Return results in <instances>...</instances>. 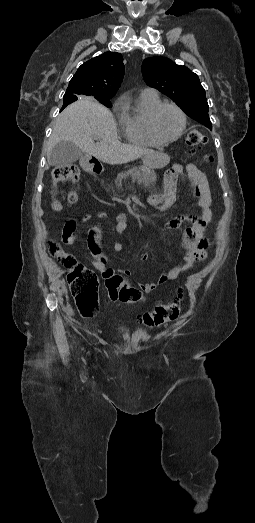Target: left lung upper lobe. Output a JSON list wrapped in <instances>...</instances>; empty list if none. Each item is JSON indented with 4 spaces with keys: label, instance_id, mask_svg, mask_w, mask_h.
Here are the masks:
<instances>
[{
    "label": "left lung upper lobe",
    "instance_id": "left-lung-upper-lobe-1",
    "mask_svg": "<svg viewBox=\"0 0 255 523\" xmlns=\"http://www.w3.org/2000/svg\"><path fill=\"white\" fill-rule=\"evenodd\" d=\"M142 74L148 86L170 97L188 116L212 130L205 90L195 73L167 58L152 57L143 61Z\"/></svg>",
    "mask_w": 255,
    "mask_h": 523
}]
</instances>
